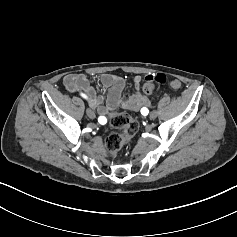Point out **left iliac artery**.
Segmentation results:
<instances>
[{
	"instance_id": "44dca946",
	"label": "left iliac artery",
	"mask_w": 237,
	"mask_h": 237,
	"mask_svg": "<svg viewBox=\"0 0 237 237\" xmlns=\"http://www.w3.org/2000/svg\"><path fill=\"white\" fill-rule=\"evenodd\" d=\"M148 109L147 108H145V107H143L142 109H141V114L142 115H144V116H146L147 114H148Z\"/></svg>"
}]
</instances>
